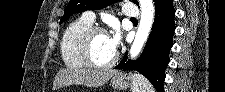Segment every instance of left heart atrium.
Returning <instances> with one entry per match:
<instances>
[{
	"mask_svg": "<svg viewBox=\"0 0 225 92\" xmlns=\"http://www.w3.org/2000/svg\"><path fill=\"white\" fill-rule=\"evenodd\" d=\"M110 41L113 49L116 51L120 43V31L117 27L113 28L110 34Z\"/></svg>",
	"mask_w": 225,
	"mask_h": 92,
	"instance_id": "left-heart-atrium-1",
	"label": "left heart atrium"
}]
</instances>
